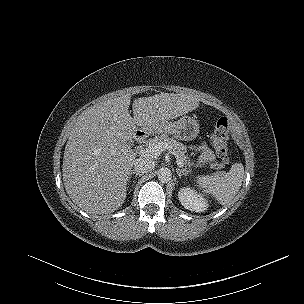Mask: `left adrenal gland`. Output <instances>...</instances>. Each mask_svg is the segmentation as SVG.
<instances>
[{"label": "left adrenal gland", "instance_id": "left-adrenal-gland-1", "mask_svg": "<svg viewBox=\"0 0 304 304\" xmlns=\"http://www.w3.org/2000/svg\"><path fill=\"white\" fill-rule=\"evenodd\" d=\"M190 170L185 169H176V173L178 174V176L181 178L182 176H187L189 174Z\"/></svg>", "mask_w": 304, "mask_h": 304}]
</instances>
